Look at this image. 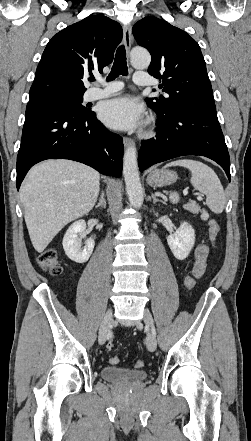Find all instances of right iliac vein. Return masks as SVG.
Wrapping results in <instances>:
<instances>
[{
  "mask_svg": "<svg viewBox=\"0 0 251 441\" xmlns=\"http://www.w3.org/2000/svg\"><path fill=\"white\" fill-rule=\"evenodd\" d=\"M113 323V312L112 309H109L103 317L99 328L98 342L100 345H103L106 341L108 332Z\"/></svg>",
  "mask_w": 251,
  "mask_h": 441,
  "instance_id": "right-iliac-vein-1",
  "label": "right iliac vein"
}]
</instances>
